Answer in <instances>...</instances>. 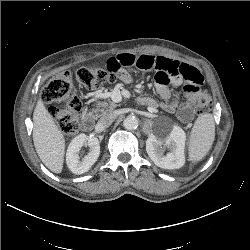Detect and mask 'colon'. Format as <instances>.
Masks as SVG:
<instances>
[{"mask_svg": "<svg viewBox=\"0 0 250 250\" xmlns=\"http://www.w3.org/2000/svg\"><path fill=\"white\" fill-rule=\"evenodd\" d=\"M74 76L79 84L90 90L121 78L117 71L98 67L79 68ZM42 100L49 106V112L62 132L72 134L77 130L82 104L76 96L73 74L70 71L60 72L48 82L42 91ZM195 102L198 114L207 113L212 107L211 97L204 90L199 91Z\"/></svg>", "mask_w": 250, "mask_h": 250, "instance_id": "obj_1", "label": "colon"}]
</instances>
